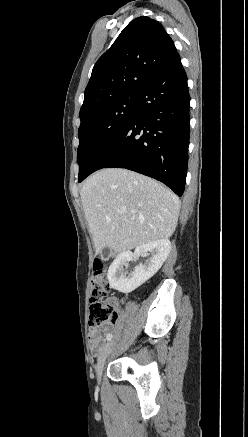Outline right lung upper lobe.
<instances>
[{"label":"right lung upper lobe","instance_id":"1","mask_svg":"<svg viewBox=\"0 0 248 437\" xmlns=\"http://www.w3.org/2000/svg\"><path fill=\"white\" fill-rule=\"evenodd\" d=\"M177 55L158 21L145 16L131 21L96 62L85 89L81 121L121 97L136 96Z\"/></svg>","mask_w":248,"mask_h":437}]
</instances>
